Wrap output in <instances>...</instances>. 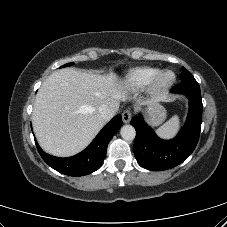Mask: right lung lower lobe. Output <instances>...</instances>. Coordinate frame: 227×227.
I'll return each mask as SVG.
<instances>
[{
	"instance_id": "98d812e1",
	"label": "right lung lower lobe",
	"mask_w": 227,
	"mask_h": 227,
	"mask_svg": "<svg viewBox=\"0 0 227 227\" xmlns=\"http://www.w3.org/2000/svg\"><path fill=\"white\" fill-rule=\"evenodd\" d=\"M122 125L121 115L115 116L95 137L92 143L79 154L69 158H58L46 154L36 142L38 152L43 160L56 171L73 176H84L96 171L102 164L107 145Z\"/></svg>"
}]
</instances>
